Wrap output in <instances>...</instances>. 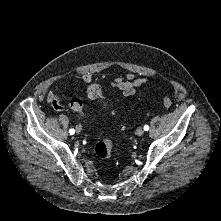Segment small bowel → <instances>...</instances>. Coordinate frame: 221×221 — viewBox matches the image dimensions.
Here are the masks:
<instances>
[{
	"mask_svg": "<svg viewBox=\"0 0 221 221\" xmlns=\"http://www.w3.org/2000/svg\"><path fill=\"white\" fill-rule=\"evenodd\" d=\"M82 83L94 82V76L91 73H84L78 77ZM148 82L146 77L138 74L129 73L124 77H115L110 80V86L118 89L124 97L134 95L138 88ZM47 102L57 111H62L63 106L60 102V96L56 91L52 90L47 95Z\"/></svg>",
	"mask_w": 221,
	"mask_h": 221,
	"instance_id": "1",
	"label": "small bowel"
}]
</instances>
